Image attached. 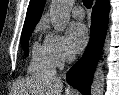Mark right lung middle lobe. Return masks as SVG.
I'll list each match as a JSON object with an SVG mask.
<instances>
[{
    "instance_id": "dd1d6c3e",
    "label": "right lung middle lobe",
    "mask_w": 119,
    "mask_h": 95,
    "mask_svg": "<svg viewBox=\"0 0 119 95\" xmlns=\"http://www.w3.org/2000/svg\"><path fill=\"white\" fill-rule=\"evenodd\" d=\"M32 31L33 30H29L27 32L22 33V35H21L20 42H21V45L24 49L25 56H28V39H29L30 34H31Z\"/></svg>"
}]
</instances>
